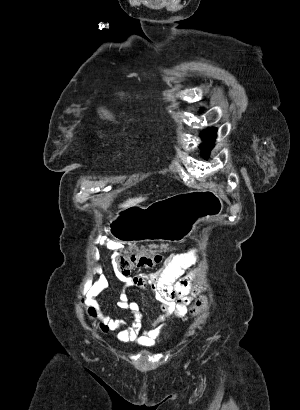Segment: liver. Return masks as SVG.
<instances>
[{
	"instance_id": "obj_1",
	"label": "liver",
	"mask_w": 300,
	"mask_h": 410,
	"mask_svg": "<svg viewBox=\"0 0 300 410\" xmlns=\"http://www.w3.org/2000/svg\"><path fill=\"white\" fill-rule=\"evenodd\" d=\"M142 200H144V198L142 197L129 199L125 203L121 204L120 207L125 208L131 205H135L137 202H140Z\"/></svg>"
}]
</instances>
